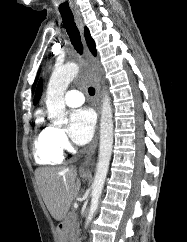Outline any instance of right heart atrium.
<instances>
[{"instance_id": "right-heart-atrium-1", "label": "right heart atrium", "mask_w": 187, "mask_h": 242, "mask_svg": "<svg viewBox=\"0 0 187 242\" xmlns=\"http://www.w3.org/2000/svg\"><path fill=\"white\" fill-rule=\"evenodd\" d=\"M53 139L55 144L62 150L69 149L70 143L62 128H54Z\"/></svg>"}]
</instances>
